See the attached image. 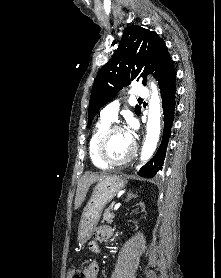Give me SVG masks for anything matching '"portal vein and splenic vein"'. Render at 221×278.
<instances>
[{
	"label": "portal vein and splenic vein",
	"instance_id": "obj_1",
	"mask_svg": "<svg viewBox=\"0 0 221 278\" xmlns=\"http://www.w3.org/2000/svg\"><path fill=\"white\" fill-rule=\"evenodd\" d=\"M119 207H120V203H117V204L114 206L113 210L115 211V210H117Z\"/></svg>",
	"mask_w": 221,
	"mask_h": 278
}]
</instances>
